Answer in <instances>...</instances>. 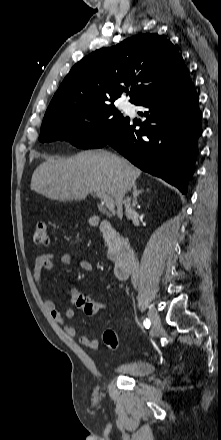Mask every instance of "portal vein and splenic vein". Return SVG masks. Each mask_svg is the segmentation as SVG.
<instances>
[{
  "mask_svg": "<svg viewBox=\"0 0 221 440\" xmlns=\"http://www.w3.org/2000/svg\"><path fill=\"white\" fill-rule=\"evenodd\" d=\"M96 196L99 197L101 200H103V202L105 203L106 207L110 210V211H114L115 208V203L113 198L104 192H97Z\"/></svg>",
  "mask_w": 221,
  "mask_h": 440,
  "instance_id": "18ae733b",
  "label": "portal vein and splenic vein"
}]
</instances>
